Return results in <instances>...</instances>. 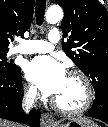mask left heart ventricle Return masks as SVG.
<instances>
[{
	"instance_id": "left-heart-ventricle-1",
	"label": "left heart ventricle",
	"mask_w": 108,
	"mask_h": 127,
	"mask_svg": "<svg viewBox=\"0 0 108 127\" xmlns=\"http://www.w3.org/2000/svg\"><path fill=\"white\" fill-rule=\"evenodd\" d=\"M54 98L64 107H77L84 99L83 86L77 78L68 75Z\"/></svg>"
}]
</instances>
